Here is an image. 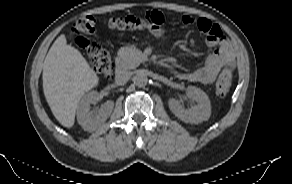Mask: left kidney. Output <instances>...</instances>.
Wrapping results in <instances>:
<instances>
[{"label": "left kidney", "mask_w": 292, "mask_h": 184, "mask_svg": "<svg viewBox=\"0 0 292 184\" xmlns=\"http://www.w3.org/2000/svg\"><path fill=\"white\" fill-rule=\"evenodd\" d=\"M188 95L197 104L190 109H185L178 100L171 98L168 101L172 113L185 123L198 124L209 119L211 104L207 94L195 86L187 88Z\"/></svg>", "instance_id": "5707ae66"}]
</instances>
